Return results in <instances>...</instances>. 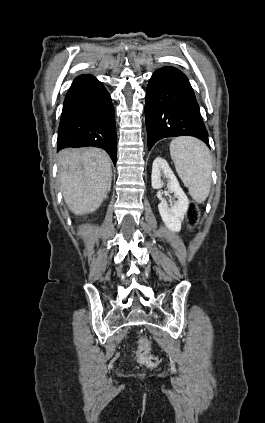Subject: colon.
<instances>
[{
  "label": "colon",
  "instance_id": "obj_1",
  "mask_svg": "<svg viewBox=\"0 0 265 423\" xmlns=\"http://www.w3.org/2000/svg\"><path fill=\"white\" fill-rule=\"evenodd\" d=\"M188 221L191 228H196L199 224L200 213L194 204H190L188 208ZM150 344L147 339L142 338L140 341V349L138 352L139 358H141L147 365L155 366L157 364V358L149 355Z\"/></svg>",
  "mask_w": 265,
  "mask_h": 423
}]
</instances>
